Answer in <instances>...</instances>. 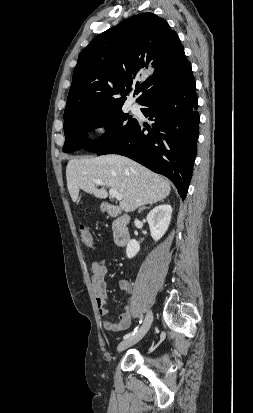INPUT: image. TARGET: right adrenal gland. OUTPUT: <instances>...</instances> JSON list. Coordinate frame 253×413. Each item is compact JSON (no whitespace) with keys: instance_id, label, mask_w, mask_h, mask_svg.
I'll return each instance as SVG.
<instances>
[{"instance_id":"2a0ac1e0","label":"right adrenal gland","mask_w":253,"mask_h":413,"mask_svg":"<svg viewBox=\"0 0 253 413\" xmlns=\"http://www.w3.org/2000/svg\"><path fill=\"white\" fill-rule=\"evenodd\" d=\"M151 205H152V204H150V206H151ZM150 206H149V207H150ZM149 207H142V208L139 209L138 212L140 213V212H142L144 209H147V208H149Z\"/></svg>"}]
</instances>
